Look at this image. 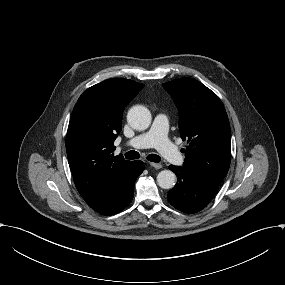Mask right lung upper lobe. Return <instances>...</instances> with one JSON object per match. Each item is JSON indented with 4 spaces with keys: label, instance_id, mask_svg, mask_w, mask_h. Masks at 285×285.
Segmentation results:
<instances>
[{
    "label": "right lung upper lobe",
    "instance_id": "right-lung-upper-lobe-1",
    "mask_svg": "<svg viewBox=\"0 0 285 285\" xmlns=\"http://www.w3.org/2000/svg\"><path fill=\"white\" fill-rule=\"evenodd\" d=\"M144 87L114 78L88 88L71 115L66 151L74 183L89 206L100 202L131 162L114 156V141L121 131L124 107Z\"/></svg>",
    "mask_w": 285,
    "mask_h": 285
}]
</instances>
